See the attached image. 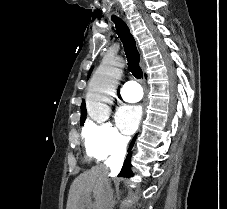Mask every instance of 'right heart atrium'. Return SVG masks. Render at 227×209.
<instances>
[{
    "label": "right heart atrium",
    "mask_w": 227,
    "mask_h": 209,
    "mask_svg": "<svg viewBox=\"0 0 227 209\" xmlns=\"http://www.w3.org/2000/svg\"><path fill=\"white\" fill-rule=\"evenodd\" d=\"M82 139L89 157L103 161L126 152L130 138L110 122L87 123Z\"/></svg>",
    "instance_id": "1"
}]
</instances>
